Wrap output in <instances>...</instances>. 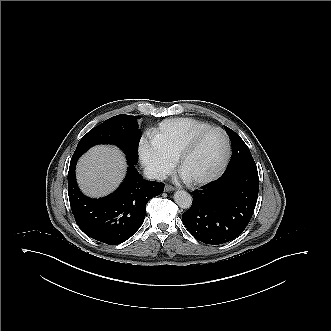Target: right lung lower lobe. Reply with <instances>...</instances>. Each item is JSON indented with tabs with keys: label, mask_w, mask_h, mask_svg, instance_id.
<instances>
[{
	"label": "right lung lower lobe",
	"mask_w": 331,
	"mask_h": 331,
	"mask_svg": "<svg viewBox=\"0 0 331 331\" xmlns=\"http://www.w3.org/2000/svg\"><path fill=\"white\" fill-rule=\"evenodd\" d=\"M79 157H72L68 173V195L77 225L89 237L117 245L128 240L142 225L146 204L163 192L164 184L144 180L128 162L127 175L111 195L92 199L81 193L75 167Z\"/></svg>",
	"instance_id": "right-lung-lower-lobe-1"
}]
</instances>
